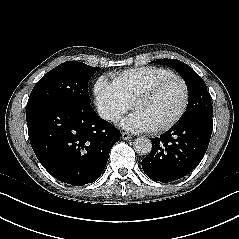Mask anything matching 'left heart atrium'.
Instances as JSON below:
<instances>
[{
	"label": "left heart atrium",
	"mask_w": 239,
	"mask_h": 239,
	"mask_svg": "<svg viewBox=\"0 0 239 239\" xmlns=\"http://www.w3.org/2000/svg\"><path fill=\"white\" fill-rule=\"evenodd\" d=\"M121 127L126 130L141 133L152 130V126L137 112L131 113L120 123Z\"/></svg>",
	"instance_id": "obj_1"
}]
</instances>
